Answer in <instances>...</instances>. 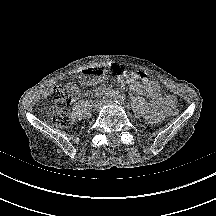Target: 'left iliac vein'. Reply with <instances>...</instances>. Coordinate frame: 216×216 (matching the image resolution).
Here are the masks:
<instances>
[{
	"label": "left iliac vein",
	"instance_id": "left-iliac-vein-1",
	"mask_svg": "<svg viewBox=\"0 0 216 216\" xmlns=\"http://www.w3.org/2000/svg\"><path fill=\"white\" fill-rule=\"evenodd\" d=\"M105 104H106V105H111V104H112V101L106 100V101H105Z\"/></svg>",
	"mask_w": 216,
	"mask_h": 216
}]
</instances>
